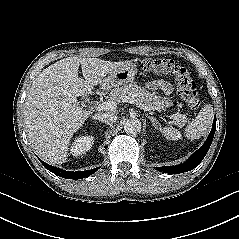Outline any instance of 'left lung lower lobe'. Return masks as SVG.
Listing matches in <instances>:
<instances>
[{
    "label": "left lung lower lobe",
    "mask_w": 239,
    "mask_h": 239,
    "mask_svg": "<svg viewBox=\"0 0 239 239\" xmlns=\"http://www.w3.org/2000/svg\"><path fill=\"white\" fill-rule=\"evenodd\" d=\"M215 130H216V118L213 122L211 132L207 140L205 141V143L185 163L176 165V166L155 167L156 170L162 171L168 174H179V173L188 172L196 168L200 164V162L203 160L205 155L207 154L211 146V143L213 141Z\"/></svg>",
    "instance_id": "0a47b994"
}]
</instances>
